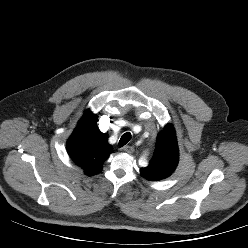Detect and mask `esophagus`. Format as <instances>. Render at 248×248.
Segmentation results:
<instances>
[{
    "label": "esophagus",
    "instance_id": "1",
    "mask_svg": "<svg viewBox=\"0 0 248 248\" xmlns=\"http://www.w3.org/2000/svg\"><path fill=\"white\" fill-rule=\"evenodd\" d=\"M123 151L131 154L134 152V148L132 146H124Z\"/></svg>",
    "mask_w": 248,
    "mask_h": 248
}]
</instances>
